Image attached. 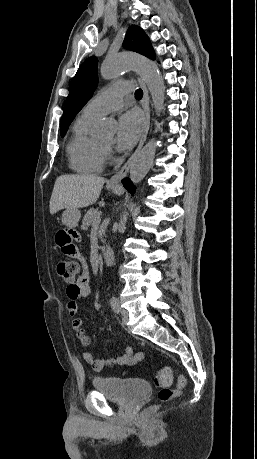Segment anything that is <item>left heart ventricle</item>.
<instances>
[{"instance_id": "1", "label": "left heart ventricle", "mask_w": 257, "mask_h": 459, "mask_svg": "<svg viewBox=\"0 0 257 459\" xmlns=\"http://www.w3.org/2000/svg\"><path fill=\"white\" fill-rule=\"evenodd\" d=\"M102 143H103L104 145L109 146V145L112 143V139H111V138H110V139H107V140L103 141Z\"/></svg>"}]
</instances>
